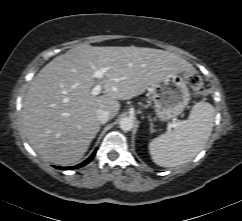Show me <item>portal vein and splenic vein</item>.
Instances as JSON below:
<instances>
[{
  "label": "portal vein and splenic vein",
  "instance_id": "obj_1",
  "mask_svg": "<svg viewBox=\"0 0 242 221\" xmlns=\"http://www.w3.org/2000/svg\"><path fill=\"white\" fill-rule=\"evenodd\" d=\"M106 71H107V68H101L99 70H96L93 74V77L102 80L104 78ZM102 88H103L102 82H99L97 85H95L93 87V89L91 91L92 95H94V96L99 95L102 91ZM180 124H181V122L169 123V128H176Z\"/></svg>",
  "mask_w": 242,
  "mask_h": 221
}]
</instances>
